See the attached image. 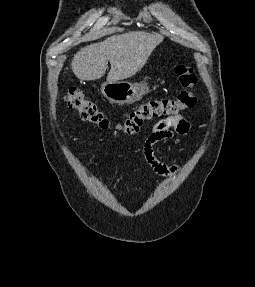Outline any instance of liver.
<instances>
[{"mask_svg": "<svg viewBox=\"0 0 255 287\" xmlns=\"http://www.w3.org/2000/svg\"><path fill=\"white\" fill-rule=\"evenodd\" d=\"M163 40V36L147 32H128L120 36H111L104 42L81 48L75 54L71 68L81 82H90L102 78L110 62L111 70L107 82L126 80L140 72L150 54Z\"/></svg>", "mask_w": 255, "mask_h": 287, "instance_id": "1", "label": "liver"}]
</instances>
